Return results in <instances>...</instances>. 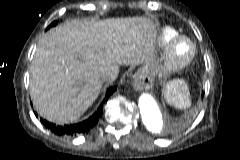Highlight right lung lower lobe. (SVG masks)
Masks as SVG:
<instances>
[{
	"label": "right lung lower lobe",
	"instance_id": "98d812e1",
	"mask_svg": "<svg viewBox=\"0 0 240 160\" xmlns=\"http://www.w3.org/2000/svg\"><path fill=\"white\" fill-rule=\"evenodd\" d=\"M116 88L117 87L114 86L107 90L106 97L104 98L103 102L101 103L97 111L83 122H80L77 124L60 126V125H56L51 122H48L47 120H44L42 118L40 120L47 129L51 130L54 134L58 136H76L80 134H85L89 130H91L95 126V124H97L103 111V104L115 92Z\"/></svg>",
	"mask_w": 240,
	"mask_h": 160
}]
</instances>
